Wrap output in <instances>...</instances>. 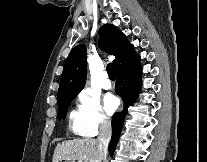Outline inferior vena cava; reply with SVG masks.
Returning <instances> with one entry per match:
<instances>
[{
    "mask_svg": "<svg viewBox=\"0 0 207 162\" xmlns=\"http://www.w3.org/2000/svg\"><path fill=\"white\" fill-rule=\"evenodd\" d=\"M111 134V122L107 119H102L99 127V135L97 137L99 160L96 162H101V160L106 159Z\"/></svg>",
    "mask_w": 207,
    "mask_h": 162,
    "instance_id": "1",
    "label": "inferior vena cava"
}]
</instances>
